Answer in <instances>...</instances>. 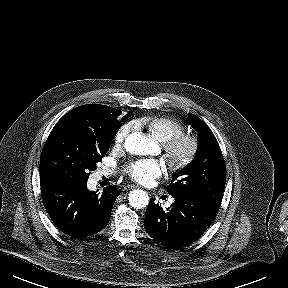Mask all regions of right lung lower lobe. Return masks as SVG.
Segmentation results:
<instances>
[{
  "instance_id": "98d812e1",
  "label": "right lung lower lobe",
  "mask_w": 288,
  "mask_h": 288,
  "mask_svg": "<svg viewBox=\"0 0 288 288\" xmlns=\"http://www.w3.org/2000/svg\"><path fill=\"white\" fill-rule=\"evenodd\" d=\"M44 206L55 225L71 238L91 236L105 228L113 204L120 194L107 186L99 195L87 189V182L41 186Z\"/></svg>"
}]
</instances>
